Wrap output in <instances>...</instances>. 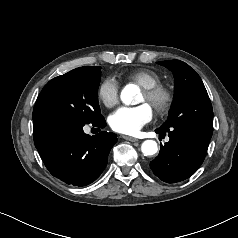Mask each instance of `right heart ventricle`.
I'll return each instance as SVG.
<instances>
[{"label":"right heart ventricle","mask_w":238,"mask_h":238,"mask_svg":"<svg viewBox=\"0 0 238 238\" xmlns=\"http://www.w3.org/2000/svg\"><path fill=\"white\" fill-rule=\"evenodd\" d=\"M126 78L137 83L142 88H149L160 84L161 77L158 73L150 69H137L129 72Z\"/></svg>","instance_id":"1"}]
</instances>
